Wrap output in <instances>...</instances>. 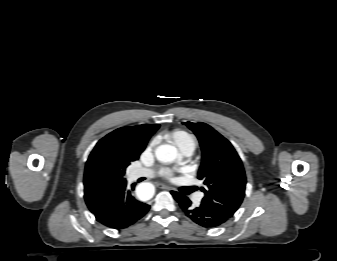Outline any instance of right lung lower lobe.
Instances as JSON below:
<instances>
[{
	"mask_svg": "<svg viewBox=\"0 0 337 261\" xmlns=\"http://www.w3.org/2000/svg\"><path fill=\"white\" fill-rule=\"evenodd\" d=\"M135 184H132L134 189ZM126 183L110 195L104 204L93 214L101 224L113 228L124 229L141 219L150 206L137 201Z\"/></svg>",
	"mask_w": 337,
	"mask_h": 261,
	"instance_id": "right-lung-lower-lobe-1",
	"label": "right lung lower lobe"
}]
</instances>
